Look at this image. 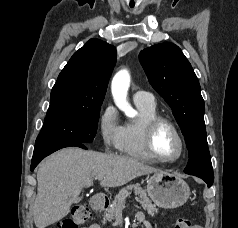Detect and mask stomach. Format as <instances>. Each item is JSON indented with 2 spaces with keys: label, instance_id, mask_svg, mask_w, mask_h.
<instances>
[{
  "label": "stomach",
  "instance_id": "stomach-1",
  "mask_svg": "<svg viewBox=\"0 0 238 228\" xmlns=\"http://www.w3.org/2000/svg\"><path fill=\"white\" fill-rule=\"evenodd\" d=\"M147 194L155 205L164 209L182 206L190 197L188 184L170 172H157L147 181Z\"/></svg>",
  "mask_w": 238,
  "mask_h": 228
}]
</instances>
